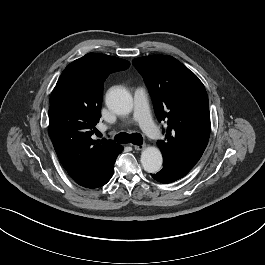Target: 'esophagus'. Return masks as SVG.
I'll use <instances>...</instances> for the list:
<instances>
[{
    "mask_svg": "<svg viewBox=\"0 0 265 265\" xmlns=\"http://www.w3.org/2000/svg\"><path fill=\"white\" fill-rule=\"evenodd\" d=\"M146 148V144H141V145H134V149L137 151H141Z\"/></svg>",
    "mask_w": 265,
    "mask_h": 265,
    "instance_id": "esophagus-1",
    "label": "esophagus"
}]
</instances>
